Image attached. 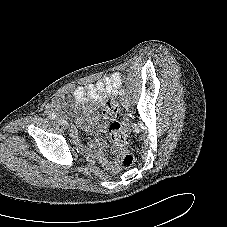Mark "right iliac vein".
<instances>
[{
	"label": "right iliac vein",
	"instance_id": "63e3f726",
	"mask_svg": "<svg viewBox=\"0 0 227 227\" xmlns=\"http://www.w3.org/2000/svg\"><path fill=\"white\" fill-rule=\"evenodd\" d=\"M55 120H56V122L59 123L61 126L65 127V128L68 127V123H67V121H66L64 118H62V117H57Z\"/></svg>",
	"mask_w": 227,
	"mask_h": 227
}]
</instances>
